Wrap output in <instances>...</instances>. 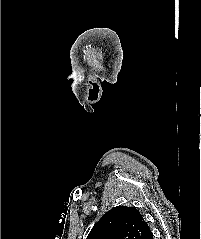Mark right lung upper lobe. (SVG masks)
Instances as JSON below:
<instances>
[{"instance_id": "obj_1", "label": "right lung upper lobe", "mask_w": 201, "mask_h": 239, "mask_svg": "<svg viewBox=\"0 0 201 239\" xmlns=\"http://www.w3.org/2000/svg\"><path fill=\"white\" fill-rule=\"evenodd\" d=\"M87 239H153V234L135 207H113L94 225Z\"/></svg>"}]
</instances>
